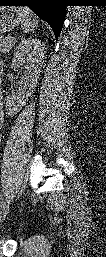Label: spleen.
<instances>
[{
  "mask_svg": "<svg viewBox=\"0 0 106 257\" xmlns=\"http://www.w3.org/2000/svg\"><path fill=\"white\" fill-rule=\"evenodd\" d=\"M20 21L24 33H29L34 30L38 24V18L28 7L18 8Z\"/></svg>",
  "mask_w": 106,
  "mask_h": 257,
  "instance_id": "obj_1",
  "label": "spleen"
}]
</instances>
